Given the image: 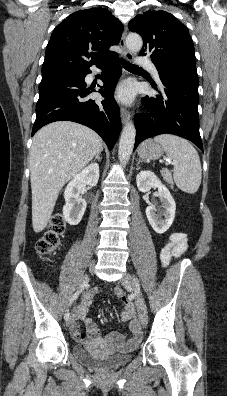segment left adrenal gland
Instances as JSON below:
<instances>
[{"instance_id": "obj_1", "label": "left adrenal gland", "mask_w": 227, "mask_h": 396, "mask_svg": "<svg viewBox=\"0 0 227 396\" xmlns=\"http://www.w3.org/2000/svg\"><path fill=\"white\" fill-rule=\"evenodd\" d=\"M141 162H143L142 159H139V160H138V163H137V167H138V165H139Z\"/></svg>"}]
</instances>
